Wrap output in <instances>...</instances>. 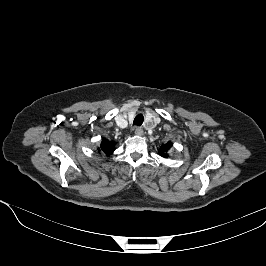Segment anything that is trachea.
I'll list each match as a JSON object with an SVG mask.
<instances>
[{"label": "trachea", "mask_w": 266, "mask_h": 266, "mask_svg": "<svg viewBox=\"0 0 266 266\" xmlns=\"http://www.w3.org/2000/svg\"><path fill=\"white\" fill-rule=\"evenodd\" d=\"M144 121V117L142 114H138L135 119H134V122H133V125L135 126H141L142 123Z\"/></svg>", "instance_id": "1"}]
</instances>
